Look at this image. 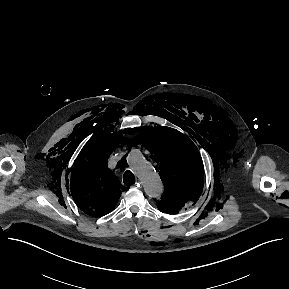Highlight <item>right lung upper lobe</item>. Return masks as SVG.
Here are the masks:
<instances>
[{"label": "right lung upper lobe", "mask_w": 289, "mask_h": 289, "mask_svg": "<svg viewBox=\"0 0 289 289\" xmlns=\"http://www.w3.org/2000/svg\"><path fill=\"white\" fill-rule=\"evenodd\" d=\"M127 140L118 133L97 135L81 150L71 172L70 191L86 214L103 216L117 204L125 188L107 167V158L114 148L127 144Z\"/></svg>", "instance_id": "1"}]
</instances>
